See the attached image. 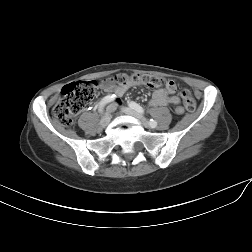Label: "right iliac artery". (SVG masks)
<instances>
[{
    "instance_id": "right-iliac-artery-1",
    "label": "right iliac artery",
    "mask_w": 252,
    "mask_h": 252,
    "mask_svg": "<svg viewBox=\"0 0 252 252\" xmlns=\"http://www.w3.org/2000/svg\"><path fill=\"white\" fill-rule=\"evenodd\" d=\"M114 99H115V95H108V96L104 97L99 103V107H98L99 113H102L105 105L108 104L109 102L113 101Z\"/></svg>"
}]
</instances>
